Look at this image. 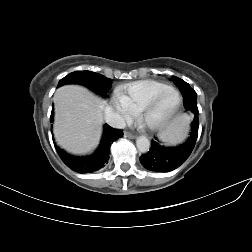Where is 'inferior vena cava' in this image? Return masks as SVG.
I'll return each instance as SVG.
<instances>
[{
    "mask_svg": "<svg viewBox=\"0 0 252 252\" xmlns=\"http://www.w3.org/2000/svg\"><path fill=\"white\" fill-rule=\"evenodd\" d=\"M105 120L114 128L124 129L126 127L123 117L114 112L110 107L105 108Z\"/></svg>",
    "mask_w": 252,
    "mask_h": 252,
    "instance_id": "602c4592",
    "label": "inferior vena cava"
}]
</instances>
